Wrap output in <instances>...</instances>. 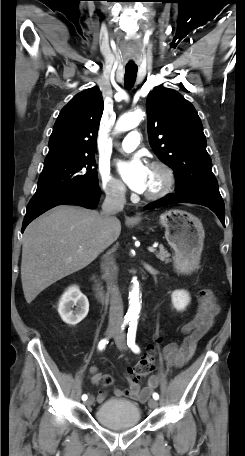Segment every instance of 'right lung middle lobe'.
<instances>
[{"label":"right lung middle lobe","mask_w":245,"mask_h":456,"mask_svg":"<svg viewBox=\"0 0 245 456\" xmlns=\"http://www.w3.org/2000/svg\"><path fill=\"white\" fill-rule=\"evenodd\" d=\"M94 166V155L63 159L44 165L33 197L99 188Z\"/></svg>","instance_id":"1"}]
</instances>
